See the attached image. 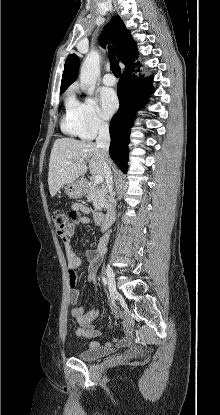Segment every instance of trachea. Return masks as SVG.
Instances as JSON below:
<instances>
[{
  "mask_svg": "<svg viewBox=\"0 0 220 415\" xmlns=\"http://www.w3.org/2000/svg\"><path fill=\"white\" fill-rule=\"evenodd\" d=\"M108 53H109V58H110L111 70L116 77H119L121 75V68L115 57V53L112 47H109Z\"/></svg>",
  "mask_w": 220,
  "mask_h": 415,
  "instance_id": "trachea-1",
  "label": "trachea"
}]
</instances>
